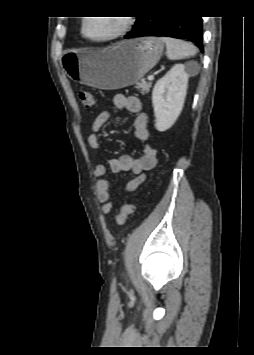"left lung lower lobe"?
<instances>
[{"mask_svg":"<svg viewBox=\"0 0 254 355\" xmlns=\"http://www.w3.org/2000/svg\"><path fill=\"white\" fill-rule=\"evenodd\" d=\"M202 18L200 16H142L125 38L137 36H168L188 39L202 51Z\"/></svg>","mask_w":254,"mask_h":355,"instance_id":"1","label":"left lung lower lobe"}]
</instances>
